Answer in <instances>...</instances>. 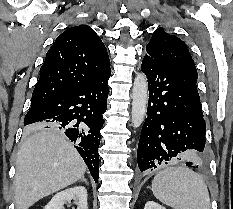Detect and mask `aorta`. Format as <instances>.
<instances>
[{
    "instance_id": "1",
    "label": "aorta",
    "mask_w": 233,
    "mask_h": 209,
    "mask_svg": "<svg viewBox=\"0 0 233 209\" xmlns=\"http://www.w3.org/2000/svg\"><path fill=\"white\" fill-rule=\"evenodd\" d=\"M148 102V83L144 73H138L132 90V126L138 128L144 121Z\"/></svg>"
}]
</instances>
